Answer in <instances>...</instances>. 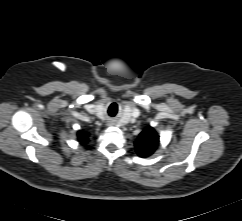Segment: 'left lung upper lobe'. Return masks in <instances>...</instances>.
<instances>
[{
  "label": "left lung upper lobe",
  "mask_w": 242,
  "mask_h": 221,
  "mask_svg": "<svg viewBox=\"0 0 242 221\" xmlns=\"http://www.w3.org/2000/svg\"><path fill=\"white\" fill-rule=\"evenodd\" d=\"M159 144L157 133L152 127H148L135 141L136 152L140 157H148L156 150Z\"/></svg>",
  "instance_id": "5c2ea615"
}]
</instances>
